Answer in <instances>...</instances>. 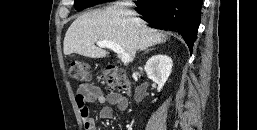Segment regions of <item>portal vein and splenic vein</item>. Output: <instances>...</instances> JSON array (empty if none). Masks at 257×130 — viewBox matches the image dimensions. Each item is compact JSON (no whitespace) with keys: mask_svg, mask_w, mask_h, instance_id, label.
Returning <instances> with one entry per match:
<instances>
[{"mask_svg":"<svg viewBox=\"0 0 257 130\" xmlns=\"http://www.w3.org/2000/svg\"><path fill=\"white\" fill-rule=\"evenodd\" d=\"M97 45L101 48H109L113 50L115 53L118 54V56L121 58V61L124 64H127L131 61V57L128 53H126L120 45L117 43L107 41V40H102V41H96Z\"/></svg>","mask_w":257,"mask_h":130,"instance_id":"1","label":"portal vein and splenic vein"}]
</instances>
